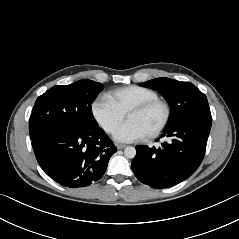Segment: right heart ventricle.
<instances>
[{
  "label": "right heart ventricle",
  "instance_id": "right-heart-ventricle-1",
  "mask_svg": "<svg viewBox=\"0 0 239 239\" xmlns=\"http://www.w3.org/2000/svg\"><path fill=\"white\" fill-rule=\"evenodd\" d=\"M124 115L136 105L157 99L155 91L137 85L121 87L105 95Z\"/></svg>",
  "mask_w": 239,
  "mask_h": 239
}]
</instances>
